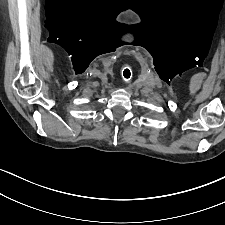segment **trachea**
<instances>
[{
	"mask_svg": "<svg viewBox=\"0 0 225 225\" xmlns=\"http://www.w3.org/2000/svg\"><path fill=\"white\" fill-rule=\"evenodd\" d=\"M125 71L126 70L123 71V76H124V78H127V75H126Z\"/></svg>",
	"mask_w": 225,
	"mask_h": 225,
	"instance_id": "3493384b",
	"label": "trachea"
}]
</instances>
